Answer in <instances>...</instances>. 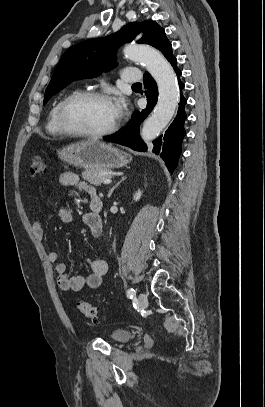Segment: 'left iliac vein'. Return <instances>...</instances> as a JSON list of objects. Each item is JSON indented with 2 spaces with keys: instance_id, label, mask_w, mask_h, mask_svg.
I'll list each match as a JSON object with an SVG mask.
<instances>
[{
  "instance_id": "1",
  "label": "left iliac vein",
  "mask_w": 265,
  "mask_h": 407,
  "mask_svg": "<svg viewBox=\"0 0 265 407\" xmlns=\"http://www.w3.org/2000/svg\"><path fill=\"white\" fill-rule=\"evenodd\" d=\"M137 304L140 308H145L147 305V296L144 293H139L137 296Z\"/></svg>"
}]
</instances>
